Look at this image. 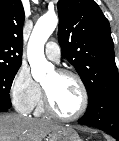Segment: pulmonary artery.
Returning a JSON list of instances; mask_svg holds the SVG:
<instances>
[{
    "label": "pulmonary artery",
    "instance_id": "pulmonary-artery-1",
    "mask_svg": "<svg viewBox=\"0 0 119 141\" xmlns=\"http://www.w3.org/2000/svg\"><path fill=\"white\" fill-rule=\"evenodd\" d=\"M45 55L49 60L59 62L61 53L58 44L55 41H49L45 46Z\"/></svg>",
    "mask_w": 119,
    "mask_h": 141
}]
</instances>
